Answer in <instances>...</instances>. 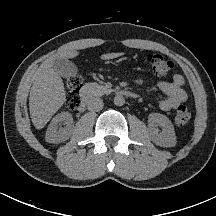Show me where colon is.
I'll return each mask as SVG.
<instances>
[{"label": "colon", "instance_id": "colon-1", "mask_svg": "<svg viewBox=\"0 0 216 216\" xmlns=\"http://www.w3.org/2000/svg\"><path fill=\"white\" fill-rule=\"evenodd\" d=\"M147 62L152 72L158 77L167 76L173 69V63L159 54H151L147 57ZM67 95L66 104L69 109H76L80 104V89L82 87V80L79 75H71L66 80ZM189 110L180 105L177 108L174 122L177 128H185L190 121Z\"/></svg>", "mask_w": 216, "mask_h": 216}]
</instances>
